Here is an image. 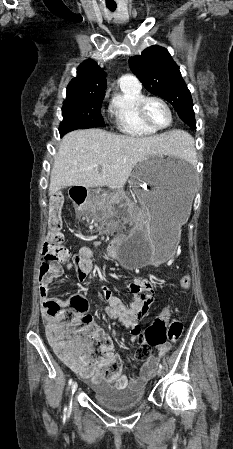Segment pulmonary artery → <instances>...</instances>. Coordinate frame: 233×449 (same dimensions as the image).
<instances>
[{
  "instance_id": "obj_1",
  "label": "pulmonary artery",
  "mask_w": 233,
  "mask_h": 449,
  "mask_svg": "<svg viewBox=\"0 0 233 449\" xmlns=\"http://www.w3.org/2000/svg\"><path fill=\"white\" fill-rule=\"evenodd\" d=\"M119 83L132 85V86H136V87H141L140 82L138 81V79L135 76H133L132 74H123L119 78Z\"/></svg>"
}]
</instances>
